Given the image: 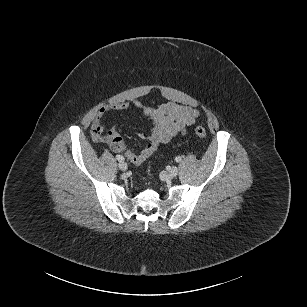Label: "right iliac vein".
Wrapping results in <instances>:
<instances>
[{"mask_svg":"<svg viewBox=\"0 0 307 307\" xmlns=\"http://www.w3.org/2000/svg\"><path fill=\"white\" fill-rule=\"evenodd\" d=\"M118 167L121 171H126L128 168L127 164L124 161H120Z\"/></svg>","mask_w":307,"mask_h":307,"instance_id":"1","label":"right iliac vein"}]
</instances>
